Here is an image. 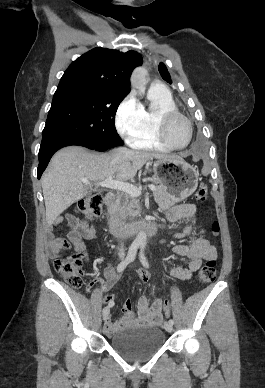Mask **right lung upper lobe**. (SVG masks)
Returning <instances> with one entry per match:
<instances>
[{"mask_svg": "<svg viewBox=\"0 0 265 388\" xmlns=\"http://www.w3.org/2000/svg\"><path fill=\"white\" fill-rule=\"evenodd\" d=\"M143 59L135 51L126 53L94 48L77 58L64 72L55 93L72 90L130 92V76Z\"/></svg>", "mask_w": 265, "mask_h": 388, "instance_id": "cb5924a9", "label": "right lung upper lobe"}]
</instances>
